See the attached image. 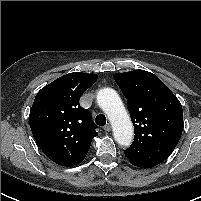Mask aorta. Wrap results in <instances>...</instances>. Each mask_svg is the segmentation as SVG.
Returning a JSON list of instances; mask_svg holds the SVG:
<instances>
[{"label":"aorta","mask_w":201,"mask_h":201,"mask_svg":"<svg viewBox=\"0 0 201 201\" xmlns=\"http://www.w3.org/2000/svg\"><path fill=\"white\" fill-rule=\"evenodd\" d=\"M96 100L112 124L116 142L129 146L133 139V126L117 92L112 88L100 89Z\"/></svg>","instance_id":"obj_1"}]
</instances>
